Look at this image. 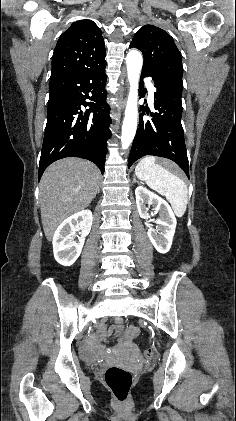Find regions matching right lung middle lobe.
Wrapping results in <instances>:
<instances>
[{"instance_id": "dd1d6c3e", "label": "right lung middle lobe", "mask_w": 236, "mask_h": 421, "mask_svg": "<svg viewBox=\"0 0 236 421\" xmlns=\"http://www.w3.org/2000/svg\"><path fill=\"white\" fill-rule=\"evenodd\" d=\"M58 93L56 91L53 90H49V97H53L55 95H57Z\"/></svg>"}]
</instances>
